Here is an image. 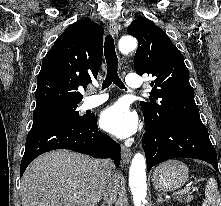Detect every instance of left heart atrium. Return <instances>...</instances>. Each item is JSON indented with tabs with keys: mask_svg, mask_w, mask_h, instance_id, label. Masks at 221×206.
I'll return each mask as SVG.
<instances>
[{
	"mask_svg": "<svg viewBox=\"0 0 221 206\" xmlns=\"http://www.w3.org/2000/svg\"><path fill=\"white\" fill-rule=\"evenodd\" d=\"M100 125L105 131L125 138L136 131L137 117L124 102L119 101L101 113Z\"/></svg>",
	"mask_w": 221,
	"mask_h": 206,
	"instance_id": "left-heart-atrium-1",
	"label": "left heart atrium"
}]
</instances>
